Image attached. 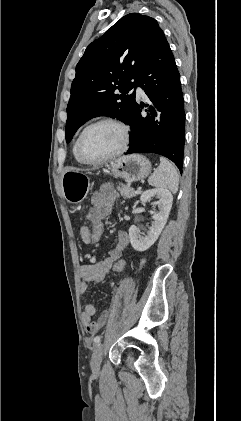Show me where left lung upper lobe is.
Returning a JSON list of instances; mask_svg holds the SVG:
<instances>
[{"mask_svg":"<svg viewBox=\"0 0 241 421\" xmlns=\"http://www.w3.org/2000/svg\"><path fill=\"white\" fill-rule=\"evenodd\" d=\"M161 28L155 19L131 13L85 50L76 66L67 106L66 142L86 121L110 116L130 124L138 74ZM119 90V91H118Z\"/></svg>","mask_w":241,"mask_h":421,"instance_id":"obj_1","label":"left lung upper lobe"}]
</instances>
